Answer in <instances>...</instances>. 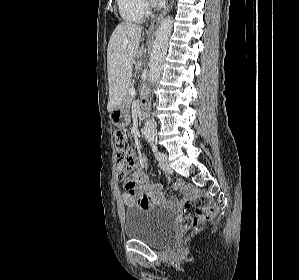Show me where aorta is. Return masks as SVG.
Returning a JSON list of instances; mask_svg holds the SVG:
<instances>
[{
    "label": "aorta",
    "instance_id": "1",
    "mask_svg": "<svg viewBox=\"0 0 299 280\" xmlns=\"http://www.w3.org/2000/svg\"><path fill=\"white\" fill-rule=\"evenodd\" d=\"M173 20L170 16L165 18L155 33L152 53L149 63V82L154 85L161 76L163 61L168 49V41L172 32ZM144 135L147 140H153L155 137V127L152 121H147L144 126Z\"/></svg>",
    "mask_w": 299,
    "mask_h": 280
}]
</instances>
